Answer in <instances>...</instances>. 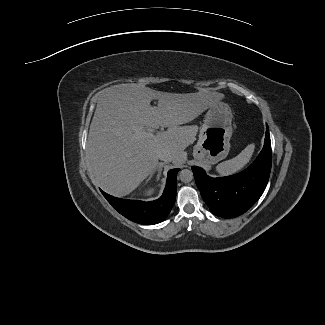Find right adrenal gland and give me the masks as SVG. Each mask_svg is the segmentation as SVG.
Returning <instances> with one entry per match:
<instances>
[{"instance_id":"obj_1","label":"right adrenal gland","mask_w":325,"mask_h":325,"mask_svg":"<svg viewBox=\"0 0 325 325\" xmlns=\"http://www.w3.org/2000/svg\"><path fill=\"white\" fill-rule=\"evenodd\" d=\"M166 163L165 162H159L156 169L153 171V173L150 175V178L152 177V175L155 173V172H158L157 174V180L160 178L161 176V172H162V168L163 166L165 165Z\"/></svg>"}]
</instances>
